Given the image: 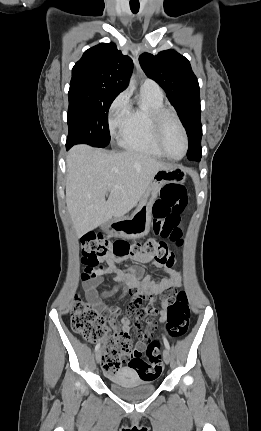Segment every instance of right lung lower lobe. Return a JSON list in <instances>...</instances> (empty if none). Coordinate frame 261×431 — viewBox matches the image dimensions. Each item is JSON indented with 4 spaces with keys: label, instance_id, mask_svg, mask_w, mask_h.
Returning a JSON list of instances; mask_svg holds the SVG:
<instances>
[{
    "label": "right lung lower lobe",
    "instance_id": "1",
    "mask_svg": "<svg viewBox=\"0 0 261 431\" xmlns=\"http://www.w3.org/2000/svg\"><path fill=\"white\" fill-rule=\"evenodd\" d=\"M66 149L68 150V149H69V147H68V146H66Z\"/></svg>",
    "mask_w": 261,
    "mask_h": 431
}]
</instances>
